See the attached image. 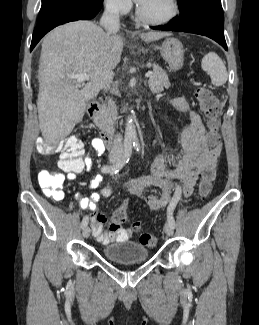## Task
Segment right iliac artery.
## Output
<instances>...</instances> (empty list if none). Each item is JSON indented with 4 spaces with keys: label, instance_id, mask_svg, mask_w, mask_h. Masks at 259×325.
<instances>
[{
    "label": "right iliac artery",
    "instance_id": "right-iliac-artery-1",
    "mask_svg": "<svg viewBox=\"0 0 259 325\" xmlns=\"http://www.w3.org/2000/svg\"><path fill=\"white\" fill-rule=\"evenodd\" d=\"M131 153H132V144L130 142H128L126 144V147H125L122 158L120 160H118L113 165H125L126 163H128V161L130 159V156H131ZM113 165H105V166H103L101 168V172L102 173H108V171L112 169ZM87 224H88V217L85 216L83 218V220H82L81 227L84 228L85 226H87Z\"/></svg>",
    "mask_w": 259,
    "mask_h": 325
}]
</instances>
